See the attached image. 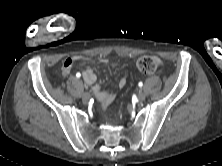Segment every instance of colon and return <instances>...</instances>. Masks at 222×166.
Here are the masks:
<instances>
[{"label": "colon", "instance_id": "colon-1", "mask_svg": "<svg viewBox=\"0 0 222 166\" xmlns=\"http://www.w3.org/2000/svg\"><path fill=\"white\" fill-rule=\"evenodd\" d=\"M136 66L144 74H153L159 69L160 60L156 57L145 55L137 60Z\"/></svg>", "mask_w": 222, "mask_h": 166}]
</instances>
